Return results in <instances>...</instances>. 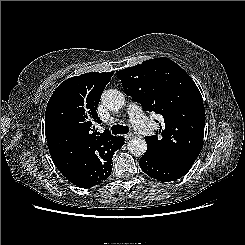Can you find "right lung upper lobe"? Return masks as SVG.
Listing matches in <instances>:
<instances>
[{"label":"right lung upper lobe","mask_w":245,"mask_h":245,"mask_svg":"<svg viewBox=\"0 0 245 245\" xmlns=\"http://www.w3.org/2000/svg\"><path fill=\"white\" fill-rule=\"evenodd\" d=\"M114 72H93L74 76L53 92L45 113L48 148L56 166L70 165L89 182L94 172L88 168L93 150L114 141L108 129L97 132L102 121L96 112L101 95Z\"/></svg>","instance_id":"obj_1"}]
</instances>
